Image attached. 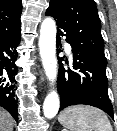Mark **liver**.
<instances>
[{"mask_svg":"<svg viewBox=\"0 0 117 131\" xmlns=\"http://www.w3.org/2000/svg\"><path fill=\"white\" fill-rule=\"evenodd\" d=\"M13 125L10 114L0 107V131H13Z\"/></svg>","mask_w":117,"mask_h":131,"instance_id":"1","label":"liver"}]
</instances>
